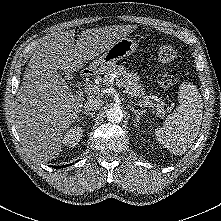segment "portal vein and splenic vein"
Here are the masks:
<instances>
[{
	"instance_id": "18ae733b",
	"label": "portal vein and splenic vein",
	"mask_w": 221,
	"mask_h": 221,
	"mask_svg": "<svg viewBox=\"0 0 221 221\" xmlns=\"http://www.w3.org/2000/svg\"><path fill=\"white\" fill-rule=\"evenodd\" d=\"M118 86L121 87V84L118 83ZM84 91L89 95L90 94H97L100 92V87L97 85H87V86H85Z\"/></svg>"
}]
</instances>
